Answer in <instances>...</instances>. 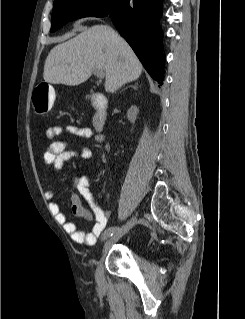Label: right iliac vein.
Here are the masks:
<instances>
[{"label": "right iliac vein", "instance_id": "right-iliac-vein-1", "mask_svg": "<svg viewBox=\"0 0 245 319\" xmlns=\"http://www.w3.org/2000/svg\"><path fill=\"white\" fill-rule=\"evenodd\" d=\"M137 223V216H133L123 227H121L117 232H115V235L110 239L113 241H117L119 238H121L124 234H126L130 228H132ZM111 236L107 233V230L102 234V240L107 241ZM108 241L104 247L102 257L98 262L96 272H95V278L98 284H102L104 282V269H103V259L107 252V246L109 244Z\"/></svg>", "mask_w": 245, "mask_h": 319}]
</instances>
